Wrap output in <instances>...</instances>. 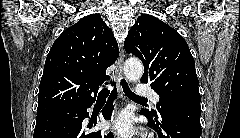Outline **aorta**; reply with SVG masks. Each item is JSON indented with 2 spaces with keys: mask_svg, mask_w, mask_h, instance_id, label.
<instances>
[{
  "mask_svg": "<svg viewBox=\"0 0 240 138\" xmlns=\"http://www.w3.org/2000/svg\"><path fill=\"white\" fill-rule=\"evenodd\" d=\"M143 64L136 58H130L125 62L124 73L129 81H137L143 75Z\"/></svg>",
  "mask_w": 240,
  "mask_h": 138,
  "instance_id": "obj_1",
  "label": "aorta"
}]
</instances>
